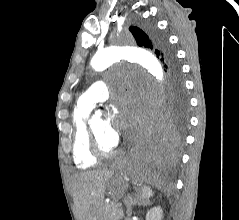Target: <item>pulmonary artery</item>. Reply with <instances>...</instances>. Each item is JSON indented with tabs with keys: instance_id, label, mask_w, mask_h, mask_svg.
<instances>
[{
	"instance_id": "pulmonary-artery-1",
	"label": "pulmonary artery",
	"mask_w": 239,
	"mask_h": 220,
	"mask_svg": "<svg viewBox=\"0 0 239 220\" xmlns=\"http://www.w3.org/2000/svg\"><path fill=\"white\" fill-rule=\"evenodd\" d=\"M109 97L108 85L105 81L99 80L88 87L79 97L78 102L84 106L94 107L98 102H104Z\"/></svg>"
}]
</instances>
